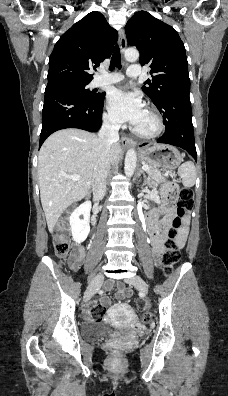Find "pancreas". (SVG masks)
Instances as JSON below:
<instances>
[{
  "label": "pancreas",
  "mask_w": 228,
  "mask_h": 396,
  "mask_svg": "<svg viewBox=\"0 0 228 396\" xmlns=\"http://www.w3.org/2000/svg\"><path fill=\"white\" fill-rule=\"evenodd\" d=\"M146 172L149 177L153 178L154 180H156L159 183L165 181L164 176L171 175L170 172H166L163 176L159 168H157L155 166H151V165L149 166L148 170H146Z\"/></svg>",
  "instance_id": "obj_1"
}]
</instances>
